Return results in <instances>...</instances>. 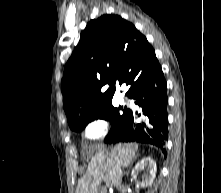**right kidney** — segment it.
I'll return each instance as SVG.
<instances>
[{"instance_id":"obj_1","label":"right kidney","mask_w":221,"mask_h":193,"mask_svg":"<svg viewBox=\"0 0 221 193\" xmlns=\"http://www.w3.org/2000/svg\"><path fill=\"white\" fill-rule=\"evenodd\" d=\"M144 169H147V173L144 174L141 185L149 186L152 184L157 171L156 162L151 157H145L138 162L132 170L131 175L134 179H136L139 172Z\"/></svg>"}]
</instances>
